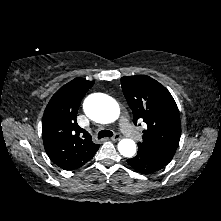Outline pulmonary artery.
Wrapping results in <instances>:
<instances>
[{"label": "pulmonary artery", "instance_id": "pulmonary-artery-1", "mask_svg": "<svg viewBox=\"0 0 221 221\" xmlns=\"http://www.w3.org/2000/svg\"><path fill=\"white\" fill-rule=\"evenodd\" d=\"M120 127H121V130L122 132L132 138V139H135V140H138L141 138V134L135 130V129H132L127 121V119L125 117H123L120 121Z\"/></svg>", "mask_w": 221, "mask_h": 221}]
</instances>
